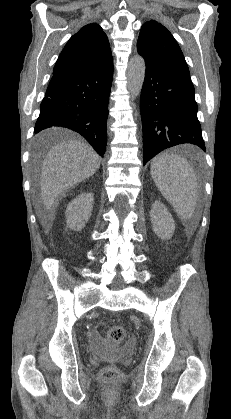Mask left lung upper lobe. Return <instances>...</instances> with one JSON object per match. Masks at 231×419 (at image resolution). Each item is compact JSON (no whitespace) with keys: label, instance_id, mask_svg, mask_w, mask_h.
<instances>
[{"label":"left lung upper lobe","instance_id":"5c2ea615","mask_svg":"<svg viewBox=\"0 0 231 419\" xmlns=\"http://www.w3.org/2000/svg\"><path fill=\"white\" fill-rule=\"evenodd\" d=\"M137 51L144 57L147 67L190 75L178 43L169 30L155 20L142 25Z\"/></svg>","mask_w":231,"mask_h":419}]
</instances>
